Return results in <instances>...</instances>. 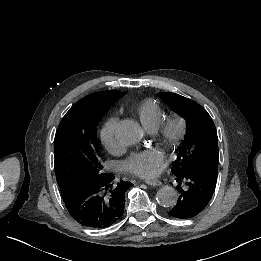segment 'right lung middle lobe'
Masks as SVG:
<instances>
[{
    "label": "right lung middle lobe",
    "instance_id": "obj_1",
    "mask_svg": "<svg viewBox=\"0 0 261 261\" xmlns=\"http://www.w3.org/2000/svg\"><path fill=\"white\" fill-rule=\"evenodd\" d=\"M108 108L77 102L61 120L54 152L56 178L62 195L76 182H93L103 174L96 129Z\"/></svg>",
    "mask_w": 261,
    "mask_h": 261
}]
</instances>
